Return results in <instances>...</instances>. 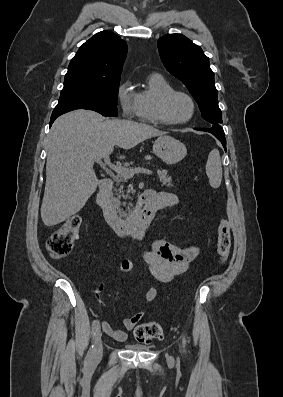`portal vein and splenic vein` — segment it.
<instances>
[{"instance_id":"obj_1","label":"portal vein and splenic vein","mask_w":283,"mask_h":397,"mask_svg":"<svg viewBox=\"0 0 283 397\" xmlns=\"http://www.w3.org/2000/svg\"><path fill=\"white\" fill-rule=\"evenodd\" d=\"M104 166L109 167L111 170L115 171L118 175L125 177V178H132L135 174H147L152 175V171L146 168H125L122 166H116L111 163L109 156H105L104 158ZM97 163L101 162V158H96L95 160Z\"/></svg>"}]
</instances>
